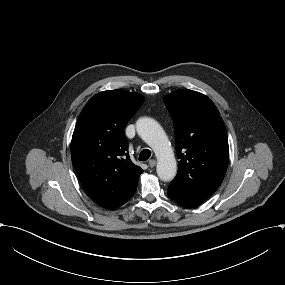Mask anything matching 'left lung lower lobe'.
<instances>
[{
    "label": "left lung lower lobe",
    "instance_id": "left-lung-lower-lobe-1",
    "mask_svg": "<svg viewBox=\"0 0 285 285\" xmlns=\"http://www.w3.org/2000/svg\"><path fill=\"white\" fill-rule=\"evenodd\" d=\"M168 196L179 205L190 208L196 207L203 202V200L191 197L172 185L168 186Z\"/></svg>",
    "mask_w": 285,
    "mask_h": 285
}]
</instances>
